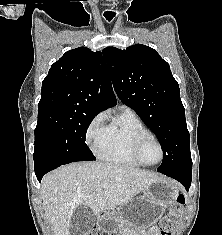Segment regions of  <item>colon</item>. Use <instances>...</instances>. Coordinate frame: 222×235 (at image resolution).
<instances>
[{
    "instance_id": "1",
    "label": "colon",
    "mask_w": 222,
    "mask_h": 235,
    "mask_svg": "<svg viewBox=\"0 0 222 235\" xmlns=\"http://www.w3.org/2000/svg\"><path fill=\"white\" fill-rule=\"evenodd\" d=\"M185 203V196L183 194H179L176 203L171 206L168 214L164 217L159 235H171V228L179 218L182 212V206ZM87 235H104L98 231H90Z\"/></svg>"
}]
</instances>
